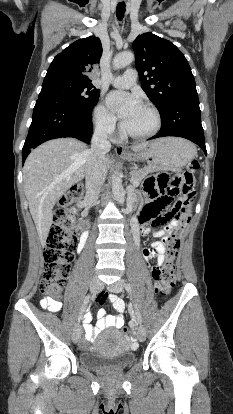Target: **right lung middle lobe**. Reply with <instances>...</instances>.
Returning <instances> with one entry per match:
<instances>
[{
	"instance_id": "1",
	"label": "right lung middle lobe",
	"mask_w": 233,
	"mask_h": 414,
	"mask_svg": "<svg viewBox=\"0 0 233 414\" xmlns=\"http://www.w3.org/2000/svg\"><path fill=\"white\" fill-rule=\"evenodd\" d=\"M100 91L92 83L62 76L44 78L39 99L49 98L84 110H92L99 99Z\"/></svg>"
}]
</instances>
